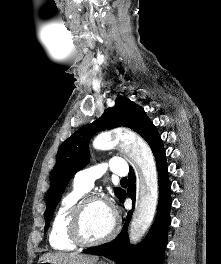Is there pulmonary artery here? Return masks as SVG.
I'll use <instances>...</instances> for the list:
<instances>
[{"label": "pulmonary artery", "instance_id": "pulmonary-artery-1", "mask_svg": "<svg viewBox=\"0 0 221 264\" xmlns=\"http://www.w3.org/2000/svg\"><path fill=\"white\" fill-rule=\"evenodd\" d=\"M108 169L118 176H125L128 172L125 161L122 158L114 157L108 163L96 164L77 172L74 177V185L84 191H89L95 180L100 178Z\"/></svg>", "mask_w": 221, "mask_h": 264}]
</instances>
